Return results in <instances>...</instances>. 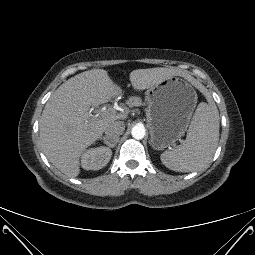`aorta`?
Wrapping results in <instances>:
<instances>
[{"instance_id":"1","label":"aorta","mask_w":255,"mask_h":255,"mask_svg":"<svg viewBox=\"0 0 255 255\" xmlns=\"http://www.w3.org/2000/svg\"><path fill=\"white\" fill-rule=\"evenodd\" d=\"M145 133V128L142 125H135L131 130L132 137L137 140L143 139Z\"/></svg>"}]
</instances>
